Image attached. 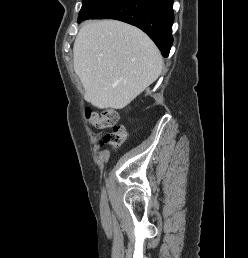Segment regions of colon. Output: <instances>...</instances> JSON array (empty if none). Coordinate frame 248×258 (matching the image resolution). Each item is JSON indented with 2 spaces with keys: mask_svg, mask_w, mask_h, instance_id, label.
<instances>
[{
  "mask_svg": "<svg viewBox=\"0 0 248 258\" xmlns=\"http://www.w3.org/2000/svg\"><path fill=\"white\" fill-rule=\"evenodd\" d=\"M85 118L90 125L96 128L114 126V130L103 137V144L118 148L125 140L126 130L124 127L117 125L118 114L116 111L107 109L101 113H97L87 108L85 111Z\"/></svg>",
  "mask_w": 248,
  "mask_h": 258,
  "instance_id": "1",
  "label": "colon"
}]
</instances>
